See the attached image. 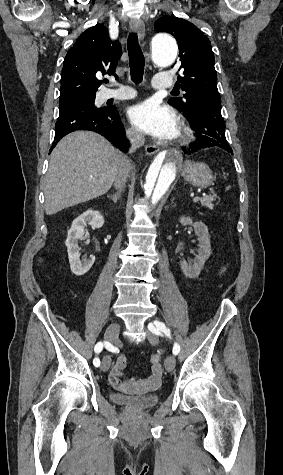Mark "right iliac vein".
<instances>
[{
    "label": "right iliac vein",
    "instance_id": "right-iliac-vein-1",
    "mask_svg": "<svg viewBox=\"0 0 283 475\" xmlns=\"http://www.w3.org/2000/svg\"><path fill=\"white\" fill-rule=\"evenodd\" d=\"M120 325L117 322L111 323L104 334V338L106 341L114 342L119 334ZM111 365V358L109 356H104L102 359L101 370L107 371Z\"/></svg>",
    "mask_w": 283,
    "mask_h": 475
}]
</instances>
